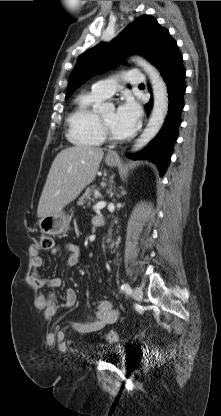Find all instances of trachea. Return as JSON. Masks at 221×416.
Masks as SVG:
<instances>
[{
	"instance_id": "trachea-1",
	"label": "trachea",
	"mask_w": 221,
	"mask_h": 416,
	"mask_svg": "<svg viewBox=\"0 0 221 416\" xmlns=\"http://www.w3.org/2000/svg\"><path fill=\"white\" fill-rule=\"evenodd\" d=\"M141 86H144V84L142 83V84L139 85V87H141Z\"/></svg>"
}]
</instances>
